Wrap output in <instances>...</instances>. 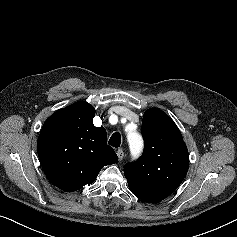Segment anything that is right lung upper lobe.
I'll return each mask as SVG.
<instances>
[{
  "instance_id": "1",
  "label": "right lung upper lobe",
  "mask_w": 237,
  "mask_h": 237,
  "mask_svg": "<svg viewBox=\"0 0 237 237\" xmlns=\"http://www.w3.org/2000/svg\"><path fill=\"white\" fill-rule=\"evenodd\" d=\"M95 109L84 101L52 114L43 124L37 142L41 166L56 187L72 192L91 184L100 170L118 161L106 144L104 127H95Z\"/></svg>"
}]
</instances>
